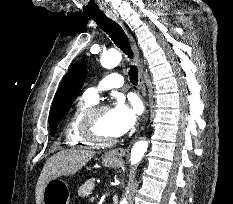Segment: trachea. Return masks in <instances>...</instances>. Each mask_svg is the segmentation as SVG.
<instances>
[{
	"mask_svg": "<svg viewBox=\"0 0 233 204\" xmlns=\"http://www.w3.org/2000/svg\"><path fill=\"white\" fill-rule=\"evenodd\" d=\"M88 15L109 35L117 47H119L129 58H133V51L126 33L119 24L109 19L103 12L89 13ZM129 76L131 83L137 85L138 69L136 66L130 68Z\"/></svg>",
	"mask_w": 233,
	"mask_h": 204,
	"instance_id": "trachea-1",
	"label": "trachea"
}]
</instances>
